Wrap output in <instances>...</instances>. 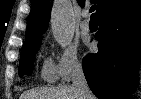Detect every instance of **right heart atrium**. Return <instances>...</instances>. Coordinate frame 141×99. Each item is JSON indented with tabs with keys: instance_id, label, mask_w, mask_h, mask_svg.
<instances>
[{
	"instance_id": "obj_1",
	"label": "right heart atrium",
	"mask_w": 141,
	"mask_h": 99,
	"mask_svg": "<svg viewBox=\"0 0 141 99\" xmlns=\"http://www.w3.org/2000/svg\"><path fill=\"white\" fill-rule=\"evenodd\" d=\"M83 68L82 55L75 45L62 47L57 54L55 74L63 82L71 80Z\"/></svg>"
}]
</instances>
